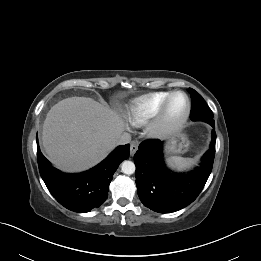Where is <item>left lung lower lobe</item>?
Here are the masks:
<instances>
[{
	"mask_svg": "<svg viewBox=\"0 0 261 261\" xmlns=\"http://www.w3.org/2000/svg\"><path fill=\"white\" fill-rule=\"evenodd\" d=\"M205 122L213 127L212 142L200 167L188 174L173 173L165 166L162 141L147 140L139 145L134 155L135 177L139 198L146 207L159 213L174 212L200 194L212 170L216 142L214 120Z\"/></svg>",
	"mask_w": 261,
	"mask_h": 261,
	"instance_id": "left-lung-lower-lobe-1",
	"label": "left lung lower lobe"
}]
</instances>
